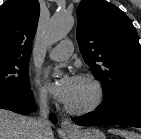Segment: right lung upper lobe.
<instances>
[{
	"label": "right lung upper lobe",
	"instance_id": "obj_1",
	"mask_svg": "<svg viewBox=\"0 0 141 139\" xmlns=\"http://www.w3.org/2000/svg\"><path fill=\"white\" fill-rule=\"evenodd\" d=\"M38 0H8L0 6V58H29L36 32Z\"/></svg>",
	"mask_w": 141,
	"mask_h": 139
}]
</instances>
